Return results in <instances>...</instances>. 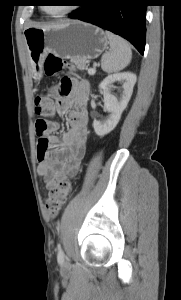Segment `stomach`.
<instances>
[{"instance_id": "obj_1", "label": "stomach", "mask_w": 181, "mask_h": 300, "mask_svg": "<svg viewBox=\"0 0 181 300\" xmlns=\"http://www.w3.org/2000/svg\"><path fill=\"white\" fill-rule=\"evenodd\" d=\"M24 38L35 79L42 77V63L49 53L86 63L97 58L109 43L101 28L81 21L47 28L30 27L24 31Z\"/></svg>"}]
</instances>
